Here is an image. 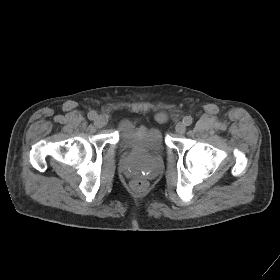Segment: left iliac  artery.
I'll return each instance as SVG.
<instances>
[{"label":"left iliac artery","mask_w":280,"mask_h":280,"mask_svg":"<svg viewBox=\"0 0 280 280\" xmlns=\"http://www.w3.org/2000/svg\"><path fill=\"white\" fill-rule=\"evenodd\" d=\"M192 122H193V119H192L191 116H185V117L183 118V123H184L186 126L191 125Z\"/></svg>","instance_id":"obj_1"}]
</instances>
